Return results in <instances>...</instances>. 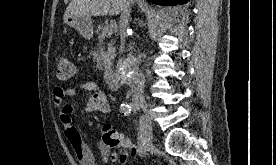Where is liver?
<instances>
[{"label":"liver","instance_id":"6515ba94","mask_svg":"<svg viewBox=\"0 0 276 165\" xmlns=\"http://www.w3.org/2000/svg\"><path fill=\"white\" fill-rule=\"evenodd\" d=\"M124 0H72L64 13V22L74 16H114L122 11Z\"/></svg>","mask_w":276,"mask_h":165}]
</instances>
